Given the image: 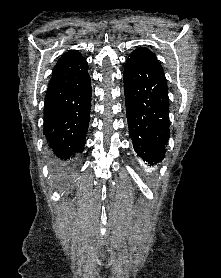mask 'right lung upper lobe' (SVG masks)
Listing matches in <instances>:
<instances>
[{"label":"right lung upper lobe","mask_w":221,"mask_h":278,"mask_svg":"<svg viewBox=\"0 0 221 278\" xmlns=\"http://www.w3.org/2000/svg\"><path fill=\"white\" fill-rule=\"evenodd\" d=\"M88 64L77 50H69L58 60L48 88H52L71 81L86 73Z\"/></svg>","instance_id":"obj_1"}]
</instances>
